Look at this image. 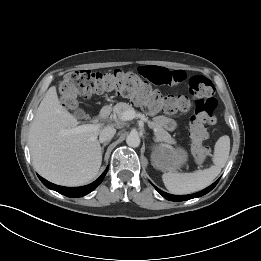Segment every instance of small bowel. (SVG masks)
<instances>
[{
    "instance_id": "1",
    "label": "small bowel",
    "mask_w": 261,
    "mask_h": 261,
    "mask_svg": "<svg viewBox=\"0 0 261 261\" xmlns=\"http://www.w3.org/2000/svg\"><path fill=\"white\" fill-rule=\"evenodd\" d=\"M140 73L156 85H175L186 79V73L182 70H170L159 66H143ZM156 122L168 130L175 127L174 121L164 116L156 117Z\"/></svg>"
}]
</instances>
